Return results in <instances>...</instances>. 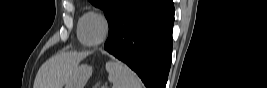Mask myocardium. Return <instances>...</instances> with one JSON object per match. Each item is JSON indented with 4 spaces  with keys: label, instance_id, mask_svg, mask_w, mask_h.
Here are the masks:
<instances>
[{
    "label": "myocardium",
    "instance_id": "myocardium-1",
    "mask_svg": "<svg viewBox=\"0 0 267 88\" xmlns=\"http://www.w3.org/2000/svg\"><path fill=\"white\" fill-rule=\"evenodd\" d=\"M89 17H96V18H98V19L102 22V24H103V35H102V37H101L98 41H96V42H88V41L86 40V38H85V35H84V26H85V22H86V20H87ZM108 32H109V25H108V20H107V18H106L103 14H101V13H98V12H90V13L86 16V18H85V20H84V23H83V26H82V29H81L82 41H83L84 44L87 45V46H98V45L102 44V43L105 41V39H106L107 36H108Z\"/></svg>",
    "mask_w": 267,
    "mask_h": 88
}]
</instances>
